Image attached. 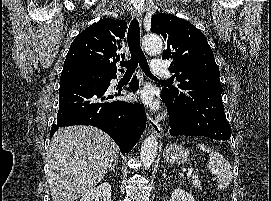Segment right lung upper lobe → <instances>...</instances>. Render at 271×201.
<instances>
[{"instance_id":"cb5924a9","label":"right lung upper lobe","mask_w":271,"mask_h":201,"mask_svg":"<svg viewBox=\"0 0 271 201\" xmlns=\"http://www.w3.org/2000/svg\"><path fill=\"white\" fill-rule=\"evenodd\" d=\"M126 28L125 21L110 18L92 24L76 36L64 65L82 63L101 72L116 73Z\"/></svg>"}]
</instances>
